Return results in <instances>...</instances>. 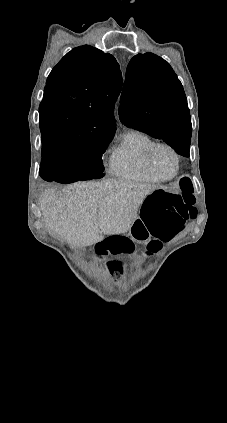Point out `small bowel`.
I'll return each instance as SVG.
<instances>
[{
    "mask_svg": "<svg viewBox=\"0 0 227 423\" xmlns=\"http://www.w3.org/2000/svg\"><path fill=\"white\" fill-rule=\"evenodd\" d=\"M139 227L142 230V235L139 238H134L133 240H137V241H144V240H150V243H154L155 244V248L154 251L158 250L161 245H162V241L158 238H156L155 236H153L149 230L147 229V226L145 225V223L139 218L135 221L133 227Z\"/></svg>",
    "mask_w": 227,
    "mask_h": 423,
    "instance_id": "small-bowel-1",
    "label": "small bowel"
}]
</instances>
